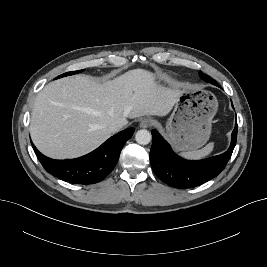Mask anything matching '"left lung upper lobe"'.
<instances>
[{"label": "left lung upper lobe", "mask_w": 267, "mask_h": 267, "mask_svg": "<svg viewBox=\"0 0 267 267\" xmlns=\"http://www.w3.org/2000/svg\"><path fill=\"white\" fill-rule=\"evenodd\" d=\"M200 76H201V78H202L204 81L209 82V83H211V84H213V85H216V83H217L215 80H213V79L210 78L208 75H206V74H204V73H202V72H200Z\"/></svg>", "instance_id": "obj_1"}]
</instances>
